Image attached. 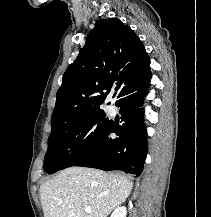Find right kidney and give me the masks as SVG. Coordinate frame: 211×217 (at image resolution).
Listing matches in <instances>:
<instances>
[{
	"mask_svg": "<svg viewBox=\"0 0 211 217\" xmlns=\"http://www.w3.org/2000/svg\"><path fill=\"white\" fill-rule=\"evenodd\" d=\"M127 210L124 206L118 207L114 210V212L111 214V217H126Z\"/></svg>",
	"mask_w": 211,
	"mask_h": 217,
	"instance_id": "ca27d5eb",
	"label": "right kidney"
}]
</instances>
